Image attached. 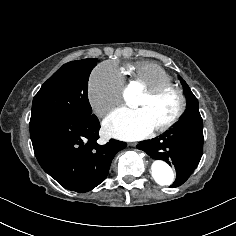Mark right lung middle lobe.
I'll list each match as a JSON object with an SVG mask.
<instances>
[{"mask_svg": "<svg viewBox=\"0 0 236 236\" xmlns=\"http://www.w3.org/2000/svg\"><path fill=\"white\" fill-rule=\"evenodd\" d=\"M97 59L71 61L41 87L32 103L30 124L59 116H88V79Z\"/></svg>", "mask_w": 236, "mask_h": 236, "instance_id": "right-lung-middle-lobe-1", "label": "right lung middle lobe"}]
</instances>
